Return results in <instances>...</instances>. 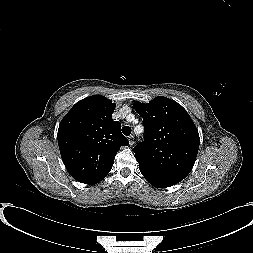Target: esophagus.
I'll list each match as a JSON object with an SVG mask.
<instances>
[{
	"label": "esophagus",
	"mask_w": 253,
	"mask_h": 253,
	"mask_svg": "<svg viewBox=\"0 0 253 253\" xmlns=\"http://www.w3.org/2000/svg\"><path fill=\"white\" fill-rule=\"evenodd\" d=\"M134 144V136H129V145L132 146Z\"/></svg>",
	"instance_id": "1"
}]
</instances>
